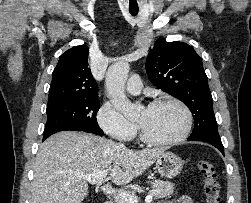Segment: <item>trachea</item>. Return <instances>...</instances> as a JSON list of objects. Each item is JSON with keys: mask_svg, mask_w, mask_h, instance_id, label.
I'll return each instance as SVG.
<instances>
[{"mask_svg": "<svg viewBox=\"0 0 251 203\" xmlns=\"http://www.w3.org/2000/svg\"><path fill=\"white\" fill-rule=\"evenodd\" d=\"M130 14L132 16H136L138 14V10H130Z\"/></svg>", "mask_w": 251, "mask_h": 203, "instance_id": "3493384b", "label": "trachea"}]
</instances>
